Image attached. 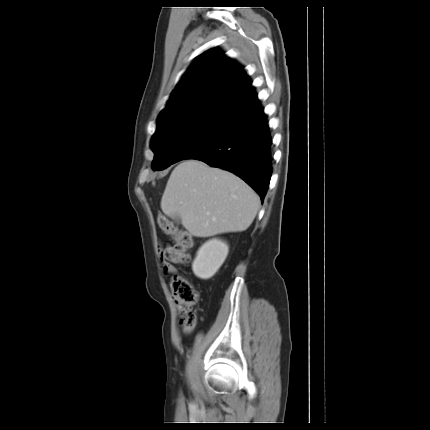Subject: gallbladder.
I'll list each match as a JSON object with an SVG mask.
<instances>
[{
    "mask_svg": "<svg viewBox=\"0 0 430 430\" xmlns=\"http://www.w3.org/2000/svg\"><path fill=\"white\" fill-rule=\"evenodd\" d=\"M172 219L176 224H180L181 222V218L179 216H174Z\"/></svg>",
    "mask_w": 430,
    "mask_h": 430,
    "instance_id": "1",
    "label": "gallbladder"
}]
</instances>
